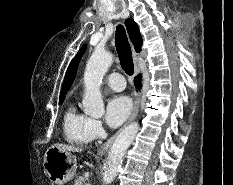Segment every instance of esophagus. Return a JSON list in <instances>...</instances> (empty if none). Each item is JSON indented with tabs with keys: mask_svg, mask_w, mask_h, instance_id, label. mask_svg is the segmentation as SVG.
I'll list each match as a JSON object with an SVG mask.
<instances>
[{
	"mask_svg": "<svg viewBox=\"0 0 233 185\" xmlns=\"http://www.w3.org/2000/svg\"><path fill=\"white\" fill-rule=\"evenodd\" d=\"M132 53H133V59H134L135 73L138 74L140 70L137 64V53L135 52L134 49H132ZM139 107H140V93L138 92L136 94V98L134 101V107H133L132 113L128 121L120 130H118L112 137H110L105 143H103L100 146V148L98 149L99 154H105L109 151V149L111 148L113 142L115 141L119 133L124 129V127H126L129 123H131L137 117L138 112H139Z\"/></svg>",
	"mask_w": 233,
	"mask_h": 185,
	"instance_id": "esophagus-1",
	"label": "esophagus"
}]
</instances>
